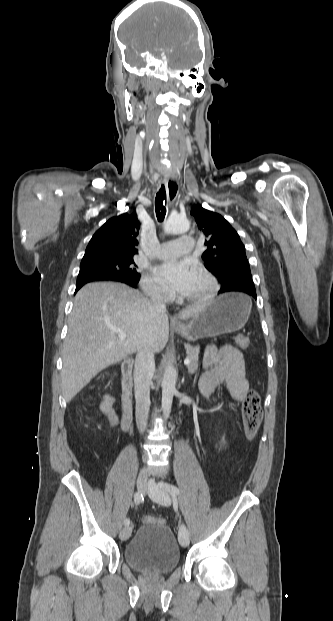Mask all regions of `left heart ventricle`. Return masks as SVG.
<instances>
[{"label":"left heart ventricle","mask_w":333,"mask_h":621,"mask_svg":"<svg viewBox=\"0 0 333 621\" xmlns=\"http://www.w3.org/2000/svg\"><path fill=\"white\" fill-rule=\"evenodd\" d=\"M208 289L209 284L207 280L195 271V275L192 281L190 282L187 289L183 293H181V295L184 297L197 296L207 292Z\"/></svg>","instance_id":"left-heart-ventricle-1"}]
</instances>
